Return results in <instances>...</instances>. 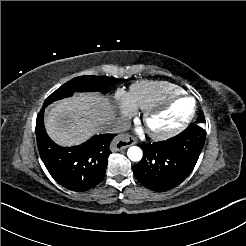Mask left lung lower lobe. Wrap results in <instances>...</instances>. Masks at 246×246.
<instances>
[{"mask_svg": "<svg viewBox=\"0 0 246 246\" xmlns=\"http://www.w3.org/2000/svg\"><path fill=\"white\" fill-rule=\"evenodd\" d=\"M205 138L204 128L194 123L168 140L143 143L144 156L133 166L136 179L156 192L175 188L194 169Z\"/></svg>", "mask_w": 246, "mask_h": 246, "instance_id": "left-lung-lower-lobe-1", "label": "left lung lower lobe"}]
</instances>
